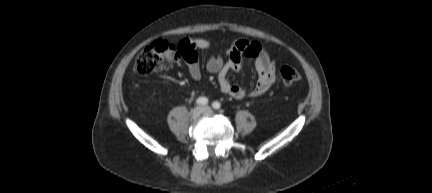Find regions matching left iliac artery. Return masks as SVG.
<instances>
[{"mask_svg": "<svg viewBox=\"0 0 432 193\" xmlns=\"http://www.w3.org/2000/svg\"><path fill=\"white\" fill-rule=\"evenodd\" d=\"M212 107L215 109H219L221 107V103L218 101H215L212 103Z\"/></svg>", "mask_w": 432, "mask_h": 193, "instance_id": "left-iliac-artery-1", "label": "left iliac artery"}]
</instances>
